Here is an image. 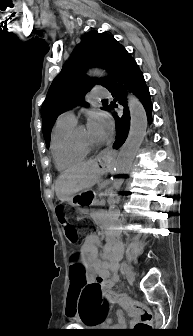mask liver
I'll list each match as a JSON object with an SVG mask.
<instances>
[{"instance_id": "liver-1", "label": "liver", "mask_w": 193, "mask_h": 336, "mask_svg": "<svg viewBox=\"0 0 193 336\" xmlns=\"http://www.w3.org/2000/svg\"><path fill=\"white\" fill-rule=\"evenodd\" d=\"M109 167L110 163L106 167L100 168L99 158H96L66 170L60 174L55 183L57 198L62 202H70L73 195L97 184Z\"/></svg>"}]
</instances>
